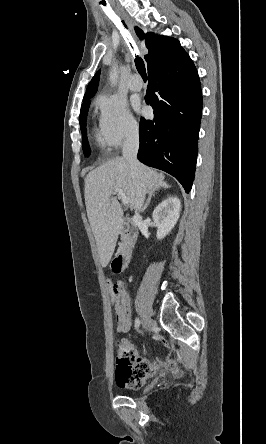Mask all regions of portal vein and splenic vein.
<instances>
[{
    "label": "portal vein and splenic vein",
    "mask_w": 266,
    "mask_h": 444,
    "mask_svg": "<svg viewBox=\"0 0 266 444\" xmlns=\"http://www.w3.org/2000/svg\"><path fill=\"white\" fill-rule=\"evenodd\" d=\"M114 194H117L118 197L121 199L122 203L124 205H128L129 204V197L124 193V191L122 189H114Z\"/></svg>",
    "instance_id": "portal-vein-and-splenic-vein-1"
}]
</instances>
